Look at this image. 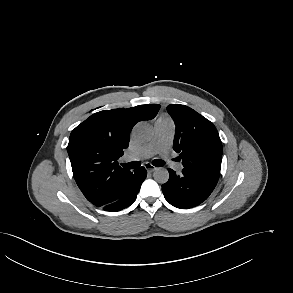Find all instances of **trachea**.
I'll list each match as a JSON object with an SVG mask.
<instances>
[{"label":"trachea","mask_w":293,"mask_h":293,"mask_svg":"<svg viewBox=\"0 0 293 293\" xmlns=\"http://www.w3.org/2000/svg\"><path fill=\"white\" fill-rule=\"evenodd\" d=\"M152 164L156 167H161L165 164V162L161 159H156V160H153L152 161ZM123 167H126V168H137L141 165V163L139 161H134V162H129V163H126V164H122Z\"/></svg>","instance_id":"trachea-1"}]
</instances>
